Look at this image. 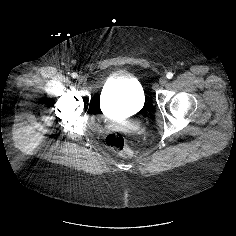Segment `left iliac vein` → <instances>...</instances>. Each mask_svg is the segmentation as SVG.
<instances>
[{
    "instance_id": "left-iliac-vein-1",
    "label": "left iliac vein",
    "mask_w": 236,
    "mask_h": 236,
    "mask_svg": "<svg viewBox=\"0 0 236 236\" xmlns=\"http://www.w3.org/2000/svg\"><path fill=\"white\" fill-rule=\"evenodd\" d=\"M167 78L165 77V76H162L160 79H159V84L161 85V86H164V85H166V83H167Z\"/></svg>"
}]
</instances>
